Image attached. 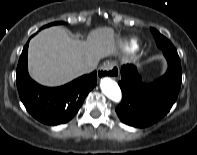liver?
<instances>
[{
  "label": "liver",
  "mask_w": 197,
  "mask_h": 155,
  "mask_svg": "<svg viewBox=\"0 0 197 155\" xmlns=\"http://www.w3.org/2000/svg\"><path fill=\"white\" fill-rule=\"evenodd\" d=\"M117 41L112 28L91 31L86 41L71 38L58 26L39 32L30 40L28 67L31 77L46 86H59L82 75L86 64L116 53Z\"/></svg>",
  "instance_id": "6515ba94"
}]
</instances>
